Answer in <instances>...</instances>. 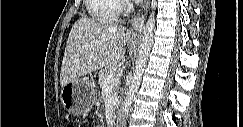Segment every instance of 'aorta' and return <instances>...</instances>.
I'll use <instances>...</instances> for the list:
<instances>
[{"instance_id": "obj_1", "label": "aorta", "mask_w": 243, "mask_h": 127, "mask_svg": "<svg viewBox=\"0 0 243 127\" xmlns=\"http://www.w3.org/2000/svg\"><path fill=\"white\" fill-rule=\"evenodd\" d=\"M155 28V13H151L143 29L141 44L138 51V58L135 63V70L132 82L129 86L127 96L123 105L122 126H125L126 118L129 114V109L134 100L135 94L141 84L142 75L144 73L151 46L153 43V34Z\"/></svg>"}]
</instances>
